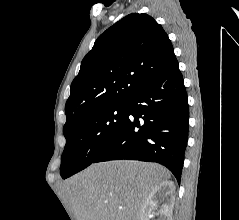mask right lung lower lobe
<instances>
[{
	"mask_svg": "<svg viewBox=\"0 0 239 220\" xmlns=\"http://www.w3.org/2000/svg\"><path fill=\"white\" fill-rule=\"evenodd\" d=\"M125 104L126 120L93 163L116 159L157 162L180 183L189 112L177 60Z\"/></svg>",
	"mask_w": 239,
	"mask_h": 220,
	"instance_id": "obj_1",
	"label": "right lung lower lobe"
}]
</instances>
